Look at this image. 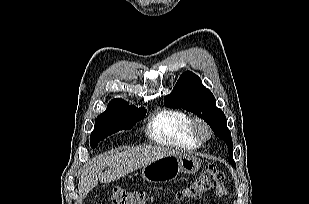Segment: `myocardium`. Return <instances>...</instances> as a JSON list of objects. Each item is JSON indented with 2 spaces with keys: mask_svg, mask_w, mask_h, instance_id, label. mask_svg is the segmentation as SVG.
I'll list each match as a JSON object with an SVG mask.
<instances>
[{
  "mask_svg": "<svg viewBox=\"0 0 309 204\" xmlns=\"http://www.w3.org/2000/svg\"><path fill=\"white\" fill-rule=\"evenodd\" d=\"M191 133L200 143L208 141L212 136V129L207 122L201 118L191 120Z\"/></svg>",
  "mask_w": 309,
  "mask_h": 204,
  "instance_id": "myocardium-1",
  "label": "myocardium"
}]
</instances>
